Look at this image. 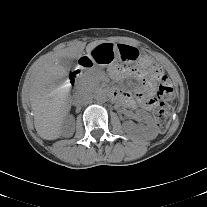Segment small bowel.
<instances>
[{
  "label": "small bowel",
  "instance_id": "c3829d8e",
  "mask_svg": "<svg viewBox=\"0 0 207 207\" xmlns=\"http://www.w3.org/2000/svg\"><path fill=\"white\" fill-rule=\"evenodd\" d=\"M146 65L151 66L152 62L146 61ZM128 75H134L140 82V88L136 91L135 97L125 92H116V97L126 106L134 108L137 105L141 108L150 110L154 106L153 91L156 82L163 77V72L154 76L142 68L119 69L112 71L115 80H121Z\"/></svg>",
  "mask_w": 207,
  "mask_h": 207
}]
</instances>
